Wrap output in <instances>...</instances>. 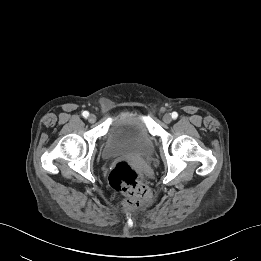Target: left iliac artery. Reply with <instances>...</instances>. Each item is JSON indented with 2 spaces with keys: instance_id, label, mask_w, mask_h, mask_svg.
Returning <instances> with one entry per match:
<instances>
[{
  "instance_id": "1",
  "label": "left iliac artery",
  "mask_w": 261,
  "mask_h": 261,
  "mask_svg": "<svg viewBox=\"0 0 261 261\" xmlns=\"http://www.w3.org/2000/svg\"><path fill=\"white\" fill-rule=\"evenodd\" d=\"M177 117H178L177 112H173V113H172V118H173V119H176Z\"/></svg>"
}]
</instances>
